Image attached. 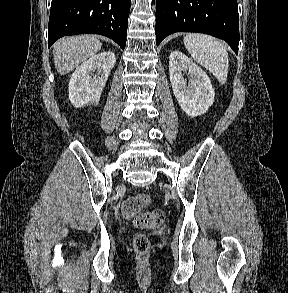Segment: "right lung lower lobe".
<instances>
[{"label": "right lung lower lobe", "mask_w": 288, "mask_h": 293, "mask_svg": "<svg viewBox=\"0 0 288 293\" xmlns=\"http://www.w3.org/2000/svg\"><path fill=\"white\" fill-rule=\"evenodd\" d=\"M131 0H52L49 47L59 38L100 34L125 48Z\"/></svg>", "instance_id": "obj_1"}]
</instances>
